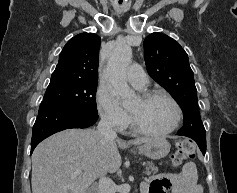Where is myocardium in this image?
I'll list each match as a JSON object with an SVG mask.
<instances>
[{"mask_svg":"<svg viewBox=\"0 0 237 193\" xmlns=\"http://www.w3.org/2000/svg\"><path fill=\"white\" fill-rule=\"evenodd\" d=\"M158 97L167 99L174 106L175 111H176V117H175L174 123L172 124L171 127H169L168 129L162 130V131L146 130V129L138 126L136 124V122L134 121L132 115L129 113L130 125L136 133L144 135V136H150V137H161V136H166V135L173 133L180 126L181 121H182V116H183L182 109H181L179 103L170 94L163 92V91L146 92L140 96V100L142 102H148V101H151V100L158 98Z\"/></svg>","mask_w":237,"mask_h":193,"instance_id":"obj_1","label":"myocardium"}]
</instances>
